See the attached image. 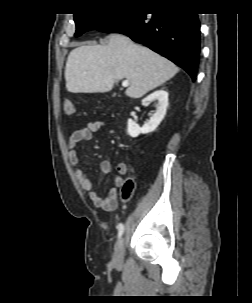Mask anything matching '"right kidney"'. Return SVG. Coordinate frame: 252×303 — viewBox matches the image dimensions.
Here are the masks:
<instances>
[{
    "mask_svg": "<svg viewBox=\"0 0 252 303\" xmlns=\"http://www.w3.org/2000/svg\"><path fill=\"white\" fill-rule=\"evenodd\" d=\"M157 100L158 106L156 112L151 116L150 120L140 127L132 119H128L127 132L135 138L140 134H148L156 130L161 121L164 119L166 109L168 107V92L164 89L153 92L142 100V105L146 106L149 102Z\"/></svg>",
    "mask_w": 252,
    "mask_h": 303,
    "instance_id": "ca27d5eb",
    "label": "right kidney"
}]
</instances>
